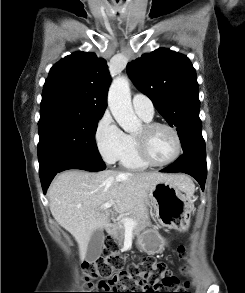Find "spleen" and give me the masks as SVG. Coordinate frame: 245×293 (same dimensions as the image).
<instances>
[{"label": "spleen", "mask_w": 245, "mask_h": 293, "mask_svg": "<svg viewBox=\"0 0 245 293\" xmlns=\"http://www.w3.org/2000/svg\"><path fill=\"white\" fill-rule=\"evenodd\" d=\"M193 185V184H192ZM194 186V185H193ZM194 190V187L191 189V191H193Z\"/></svg>", "instance_id": "3e777b00"}]
</instances>
